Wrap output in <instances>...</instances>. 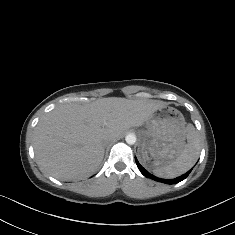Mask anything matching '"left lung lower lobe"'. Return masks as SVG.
<instances>
[{"instance_id": "obj_1", "label": "left lung lower lobe", "mask_w": 235, "mask_h": 235, "mask_svg": "<svg viewBox=\"0 0 235 235\" xmlns=\"http://www.w3.org/2000/svg\"><path fill=\"white\" fill-rule=\"evenodd\" d=\"M136 161V164L138 166V168L140 169V172L146 176L147 178H151V179H154L155 181H159V182H164V183H167V184H176L178 182H181L182 180H184L191 172V170H189L187 173L183 174L182 176L180 177H177L175 179H171V180H166V179H159L157 177H155L154 175L150 174L147 170H145L141 165L140 163L137 161V159H135Z\"/></svg>"}]
</instances>
